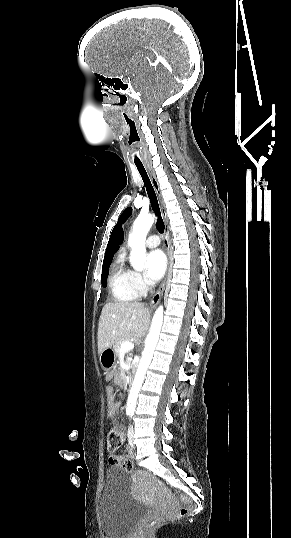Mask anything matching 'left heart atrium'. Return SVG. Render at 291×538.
Instances as JSON below:
<instances>
[{"instance_id": "obj_1", "label": "left heart atrium", "mask_w": 291, "mask_h": 538, "mask_svg": "<svg viewBox=\"0 0 291 538\" xmlns=\"http://www.w3.org/2000/svg\"><path fill=\"white\" fill-rule=\"evenodd\" d=\"M167 260L165 254L157 249L148 253L145 276L151 283L158 281L164 274Z\"/></svg>"}]
</instances>
